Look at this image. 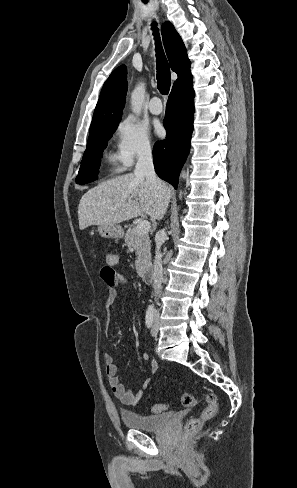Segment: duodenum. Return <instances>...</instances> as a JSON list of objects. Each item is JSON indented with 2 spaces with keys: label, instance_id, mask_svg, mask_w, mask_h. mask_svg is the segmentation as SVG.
I'll return each mask as SVG.
<instances>
[{
  "label": "duodenum",
  "instance_id": "obj_1",
  "mask_svg": "<svg viewBox=\"0 0 297 488\" xmlns=\"http://www.w3.org/2000/svg\"><path fill=\"white\" fill-rule=\"evenodd\" d=\"M138 274L141 279L146 283H151L153 280V271L150 265L141 266L138 269Z\"/></svg>",
  "mask_w": 297,
  "mask_h": 488
}]
</instances>
